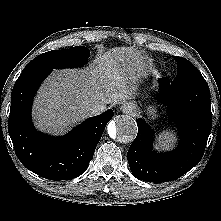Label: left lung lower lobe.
Segmentation results:
<instances>
[{"mask_svg":"<svg viewBox=\"0 0 221 221\" xmlns=\"http://www.w3.org/2000/svg\"><path fill=\"white\" fill-rule=\"evenodd\" d=\"M160 100L179 131V145L169 153L152 150L153 133L138 118V133L127 159L133 175L147 182H167L179 178L202 158L212 126L210 90L206 81L173 85L160 78Z\"/></svg>","mask_w":221,"mask_h":221,"instance_id":"1","label":"left lung lower lobe"}]
</instances>
